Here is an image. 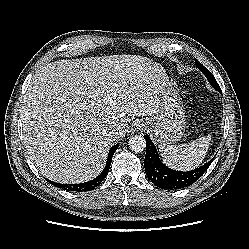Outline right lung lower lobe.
Returning a JSON list of instances; mask_svg holds the SVG:
<instances>
[{"label":"right lung lower lobe","instance_id":"1","mask_svg":"<svg viewBox=\"0 0 249 249\" xmlns=\"http://www.w3.org/2000/svg\"><path fill=\"white\" fill-rule=\"evenodd\" d=\"M118 146H119V144H116V145L111 147V149L109 151L106 166H105L104 170L102 171V173L98 177H96L95 179L88 181V182H85V183H80V184H60V183H55L52 181H49V182L52 185H54L58 188H62V189L67 190V191H79L80 192V191H89V190L94 189L99 184H101V182L107 176L110 165H111L112 157H113L116 149L118 148Z\"/></svg>","mask_w":249,"mask_h":249}]
</instances>
